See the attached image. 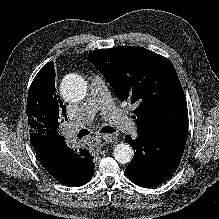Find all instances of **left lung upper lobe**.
<instances>
[{"instance_id":"1","label":"left lung upper lobe","mask_w":219,"mask_h":219,"mask_svg":"<svg viewBox=\"0 0 219 219\" xmlns=\"http://www.w3.org/2000/svg\"><path fill=\"white\" fill-rule=\"evenodd\" d=\"M89 60L121 101H130L137 133L172 143H186L188 111L182 85L172 63L143 47L96 50Z\"/></svg>"}]
</instances>
